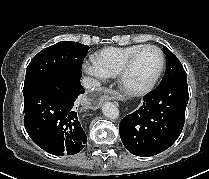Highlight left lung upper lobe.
<instances>
[{
    "label": "left lung upper lobe",
    "mask_w": 209,
    "mask_h": 179,
    "mask_svg": "<svg viewBox=\"0 0 209 179\" xmlns=\"http://www.w3.org/2000/svg\"><path fill=\"white\" fill-rule=\"evenodd\" d=\"M163 52L166 55L167 68L159 86L178 79L187 78L186 72L178 58L166 47H164Z\"/></svg>",
    "instance_id": "obj_1"
}]
</instances>
